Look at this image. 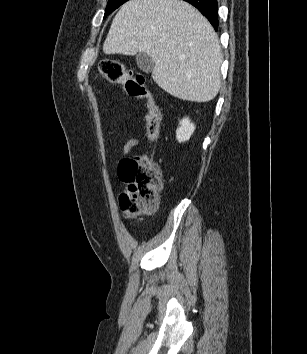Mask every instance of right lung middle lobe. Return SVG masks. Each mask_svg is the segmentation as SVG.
I'll return each mask as SVG.
<instances>
[{"label": "right lung middle lobe", "mask_w": 307, "mask_h": 354, "mask_svg": "<svg viewBox=\"0 0 307 354\" xmlns=\"http://www.w3.org/2000/svg\"><path fill=\"white\" fill-rule=\"evenodd\" d=\"M128 0H109L105 9L104 18Z\"/></svg>", "instance_id": "dd1d6c3e"}]
</instances>
